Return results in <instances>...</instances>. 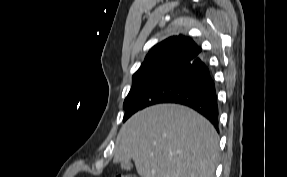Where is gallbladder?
Listing matches in <instances>:
<instances>
[{
    "label": "gallbladder",
    "mask_w": 287,
    "mask_h": 177,
    "mask_svg": "<svg viewBox=\"0 0 287 177\" xmlns=\"http://www.w3.org/2000/svg\"><path fill=\"white\" fill-rule=\"evenodd\" d=\"M120 166H121V169H123L125 171H130L133 167L130 160L120 162Z\"/></svg>",
    "instance_id": "bac80fb5"
}]
</instances>
